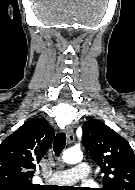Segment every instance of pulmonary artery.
Listing matches in <instances>:
<instances>
[{
	"label": "pulmonary artery",
	"mask_w": 135,
	"mask_h": 190,
	"mask_svg": "<svg viewBox=\"0 0 135 190\" xmlns=\"http://www.w3.org/2000/svg\"><path fill=\"white\" fill-rule=\"evenodd\" d=\"M90 168L85 162L77 163L73 168L55 171L52 173L50 182L54 184L64 185L71 184L89 176Z\"/></svg>",
	"instance_id": "e3ab8cb5"
}]
</instances>
